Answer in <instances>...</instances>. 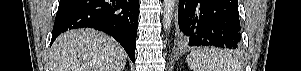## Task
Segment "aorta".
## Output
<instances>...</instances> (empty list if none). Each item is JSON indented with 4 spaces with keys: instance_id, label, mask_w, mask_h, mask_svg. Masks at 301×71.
<instances>
[{
    "instance_id": "obj_1",
    "label": "aorta",
    "mask_w": 301,
    "mask_h": 71,
    "mask_svg": "<svg viewBox=\"0 0 301 71\" xmlns=\"http://www.w3.org/2000/svg\"><path fill=\"white\" fill-rule=\"evenodd\" d=\"M176 2V0L163 1V27L165 32L170 31Z\"/></svg>"
}]
</instances>
